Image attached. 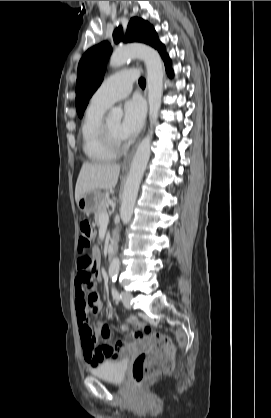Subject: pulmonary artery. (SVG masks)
I'll return each mask as SVG.
<instances>
[{
	"mask_svg": "<svg viewBox=\"0 0 271 418\" xmlns=\"http://www.w3.org/2000/svg\"><path fill=\"white\" fill-rule=\"evenodd\" d=\"M135 69H126L108 77L93 94L91 102L110 107L116 101L126 97L137 79Z\"/></svg>",
	"mask_w": 271,
	"mask_h": 418,
	"instance_id": "e3ab8cb5",
	"label": "pulmonary artery"
}]
</instances>
